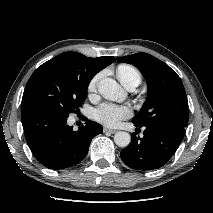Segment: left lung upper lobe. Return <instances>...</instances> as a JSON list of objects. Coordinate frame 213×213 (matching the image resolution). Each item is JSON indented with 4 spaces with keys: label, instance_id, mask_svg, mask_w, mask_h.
<instances>
[{
    "label": "left lung upper lobe",
    "instance_id": "obj_1",
    "mask_svg": "<svg viewBox=\"0 0 213 213\" xmlns=\"http://www.w3.org/2000/svg\"><path fill=\"white\" fill-rule=\"evenodd\" d=\"M117 59L136 66L149 87L148 98L132 122L139 126L170 125L185 131L188 124V101L177 73L147 53H136Z\"/></svg>",
    "mask_w": 213,
    "mask_h": 213
}]
</instances>
